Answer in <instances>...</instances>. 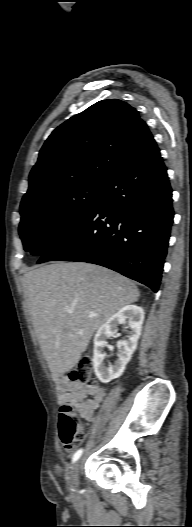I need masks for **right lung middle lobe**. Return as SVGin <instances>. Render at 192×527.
<instances>
[{
  "label": "right lung middle lobe",
  "instance_id": "dd1d6c3e",
  "mask_svg": "<svg viewBox=\"0 0 192 527\" xmlns=\"http://www.w3.org/2000/svg\"><path fill=\"white\" fill-rule=\"evenodd\" d=\"M104 186L82 182L22 203L19 234L24 249L34 256L45 254L85 217Z\"/></svg>",
  "mask_w": 192,
  "mask_h": 527
}]
</instances>
